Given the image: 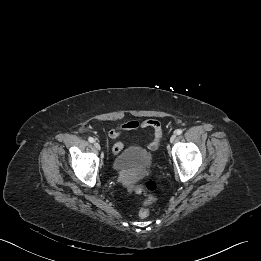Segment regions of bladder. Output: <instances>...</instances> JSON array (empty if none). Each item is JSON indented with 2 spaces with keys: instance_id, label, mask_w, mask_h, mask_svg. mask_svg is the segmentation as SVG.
I'll return each mask as SVG.
<instances>
[{
  "instance_id": "1",
  "label": "bladder",
  "mask_w": 261,
  "mask_h": 261,
  "mask_svg": "<svg viewBox=\"0 0 261 261\" xmlns=\"http://www.w3.org/2000/svg\"><path fill=\"white\" fill-rule=\"evenodd\" d=\"M151 163V154L139 145H131L120 151L114 158L113 168L117 172L136 170Z\"/></svg>"
}]
</instances>
